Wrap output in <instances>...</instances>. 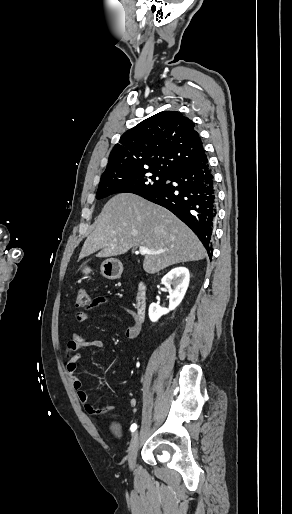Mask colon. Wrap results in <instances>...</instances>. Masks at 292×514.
I'll return each mask as SVG.
<instances>
[{
	"mask_svg": "<svg viewBox=\"0 0 292 514\" xmlns=\"http://www.w3.org/2000/svg\"><path fill=\"white\" fill-rule=\"evenodd\" d=\"M76 310H88L89 306V295L86 290H79L76 296Z\"/></svg>",
	"mask_w": 292,
	"mask_h": 514,
	"instance_id": "obj_1",
	"label": "colon"
}]
</instances>
